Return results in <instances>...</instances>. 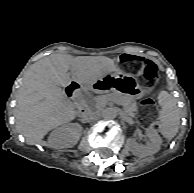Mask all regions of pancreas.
<instances>
[{
  "label": "pancreas",
  "mask_w": 194,
  "mask_h": 193,
  "mask_svg": "<svg viewBox=\"0 0 194 193\" xmlns=\"http://www.w3.org/2000/svg\"><path fill=\"white\" fill-rule=\"evenodd\" d=\"M104 105L108 100L111 103H115L117 106L124 107V111L129 115L134 117L135 111L137 109L136 102L132 99H128L127 97L118 96L116 94H107L102 97Z\"/></svg>",
  "instance_id": "1"
}]
</instances>
